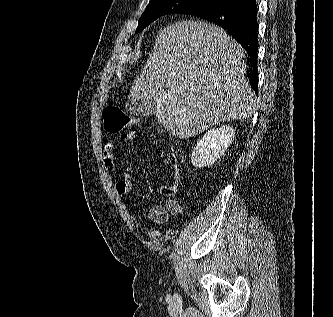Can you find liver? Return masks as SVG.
<instances>
[{"instance_id": "liver-1", "label": "liver", "mask_w": 333, "mask_h": 317, "mask_svg": "<svg viewBox=\"0 0 333 317\" xmlns=\"http://www.w3.org/2000/svg\"><path fill=\"white\" fill-rule=\"evenodd\" d=\"M243 58V48L223 29L175 22L159 33L129 97L153 99L158 123L180 139L248 118L258 105Z\"/></svg>"}]
</instances>
